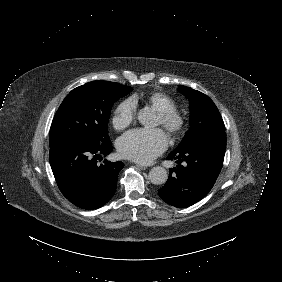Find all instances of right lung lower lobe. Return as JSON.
Wrapping results in <instances>:
<instances>
[{"label":"right lung lower lobe","mask_w":282,"mask_h":282,"mask_svg":"<svg viewBox=\"0 0 282 282\" xmlns=\"http://www.w3.org/2000/svg\"><path fill=\"white\" fill-rule=\"evenodd\" d=\"M112 151L111 141L71 139L50 147V165L62 194L74 205L93 210L105 205L116 191L123 162L97 164Z\"/></svg>","instance_id":"right-lung-lower-lobe-1"}]
</instances>
